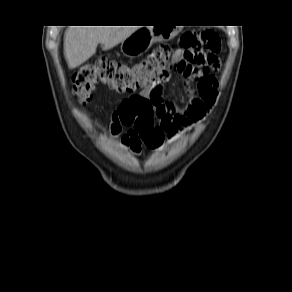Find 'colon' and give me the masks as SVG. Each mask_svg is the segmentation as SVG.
<instances>
[{"label":"colon","mask_w":292,"mask_h":292,"mask_svg":"<svg viewBox=\"0 0 292 292\" xmlns=\"http://www.w3.org/2000/svg\"><path fill=\"white\" fill-rule=\"evenodd\" d=\"M220 44L212 30L187 31L180 38V48L162 45L146 58L125 63L100 57L82 66L73 76V91L83 103L92 100L93 91L100 83L118 92L143 89L121 102L113 115L112 130L135 126L144 144L155 149L161 145V132L155 127V117L161 101L162 85L173 73L187 74L208 58Z\"/></svg>","instance_id":"obj_1"}]
</instances>
